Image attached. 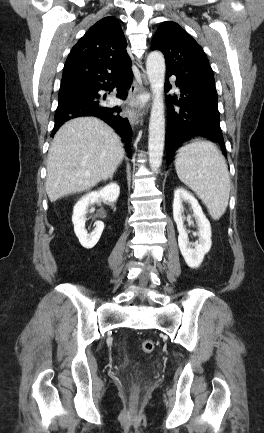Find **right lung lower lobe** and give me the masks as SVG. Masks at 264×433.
<instances>
[{
	"label": "right lung lower lobe",
	"instance_id": "right-lung-lower-lobe-1",
	"mask_svg": "<svg viewBox=\"0 0 264 433\" xmlns=\"http://www.w3.org/2000/svg\"><path fill=\"white\" fill-rule=\"evenodd\" d=\"M132 71L130 65L117 70H100L93 73L75 74L63 78L58 94V107L55 112V125L51 136L68 120L79 116H95L116 130L130 152L132 137L127 118L120 113L118 106H112L100 90L116 88L117 97L125 99L131 87Z\"/></svg>",
	"mask_w": 264,
	"mask_h": 433
}]
</instances>
